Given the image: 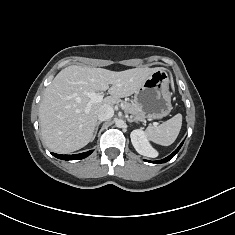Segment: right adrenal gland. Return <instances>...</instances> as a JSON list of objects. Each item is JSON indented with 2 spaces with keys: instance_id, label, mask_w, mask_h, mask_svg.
<instances>
[{
  "instance_id": "2a0ac1e0",
  "label": "right adrenal gland",
  "mask_w": 235,
  "mask_h": 235,
  "mask_svg": "<svg viewBox=\"0 0 235 235\" xmlns=\"http://www.w3.org/2000/svg\"><path fill=\"white\" fill-rule=\"evenodd\" d=\"M102 123V121H98L97 124H96V128H95V131H94V134L92 136V139L91 141H93L96 137V134H97V131H98V128H99V125Z\"/></svg>"
}]
</instances>
